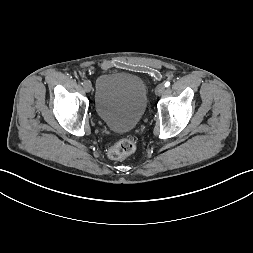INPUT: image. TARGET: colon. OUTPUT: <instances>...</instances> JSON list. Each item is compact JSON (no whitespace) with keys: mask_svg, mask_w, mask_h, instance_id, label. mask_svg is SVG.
<instances>
[{"mask_svg":"<svg viewBox=\"0 0 253 253\" xmlns=\"http://www.w3.org/2000/svg\"><path fill=\"white\" fill-rule=\"evenodd\" d=\"M135 149V141L129 138H124L110 147L108 150V157L113 161H121L131 155Z\"/></svg>","mask_w":253,"mask_h":253,"instance_id":"1","label":"colon"}]
</instances>
